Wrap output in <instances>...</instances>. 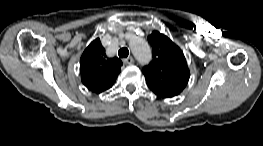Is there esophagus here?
I'll list each match as a JSON object with an SVG mask.
<instances>
[{
    "mask_svg": "<svg viewBox=\"0 0 263 146\" xmlns=\"http://www.w3.org/2000/svg\"><path fill=\"white\" fill-rule=\"evenodd\" d=\"M125 64H132L134 62V59L132 57H128L122 60Z\"/></svg>",
    "mask_w": 263,
    "mask_h": 146,
    "instance_id": "obj_1",
    "label": "esophagus"
}]
</instances>
